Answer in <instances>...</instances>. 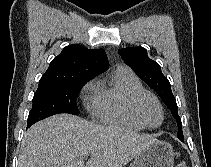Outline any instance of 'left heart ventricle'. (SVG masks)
Instances as JSON below:
<instances>
[{"label": "left heart ventricle", "instance_id": "b2bd125f", "mask_svg": "<svg viewBox=\"0 0 211 167\" xmlns=\"http://www.w3.org/2000/svg\"><path fill=\"white\" fill-rule=\"evenodd\" d=\"M138 110L142 119L149 125H156L161 120V112L158 105L148 96L141 98Z\"/></svg>", "mask_w": 211, "mask_h": 167}]
</instances>
